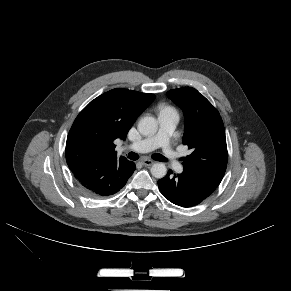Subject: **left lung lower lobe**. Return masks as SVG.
I'll return each mask as SVG.
<instances>
[{
    "label": "left lung lower lobe",
    "mask_w": 291,
    "mask_h": 291,
    "mask_svg": "<svg viewBox=\"0 0 291 291\" xmlns=\"http://www.w3.org/2000/svg\"><path fill=\"white\" fill-rule=\"evenodd\" d=\"M167 175L158 181L162 195L170 202L181 207H192L211 195L221 180L184 167L181 174Z\"/></svg>",
    "instance_id": "0a47b994"
}]
</instances>
